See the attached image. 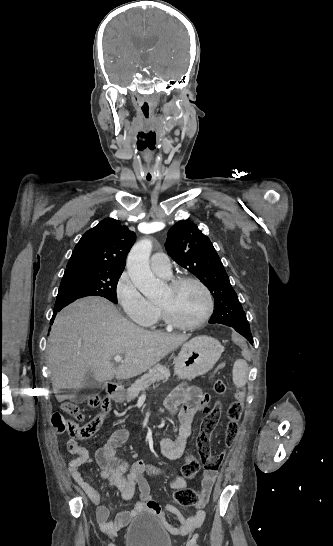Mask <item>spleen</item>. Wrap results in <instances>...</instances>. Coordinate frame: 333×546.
Returning a JSON list of instances; mask_svg holds the SVG:
<instances>
[{"instance_id":"spleen-1","label":"spleen","mask_w":333,"mask_h":546,"mask_svg":"<svg viewBox=\"0 0 333 546\" xmlns=\"http://www.w3.org/2000/svg\"><path fill=\"white\" fill-rule=\"evenodd\" d=\"M232 378L235 386L242 388L247 383L248 364L245 360H236L232 370Z\"/></svg>"}]
</instances>
